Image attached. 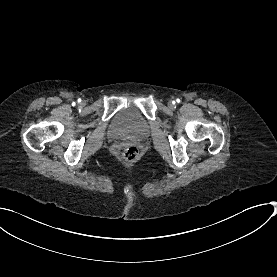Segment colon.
<instances>
[{
  "label": "colon",
  "mask_w": 277,
  "mask_h": 277,
  "mask_svg": "<svg viewBox=\"0 0 277 277\" xmlns=\"http://www.w3.org/2000/svg\"><path fill=\"white\" fill-rule=\"evenodd\" d=\"M139 154L140 151L136 145H127L122 153V161L126 165H133L139 160Z\"/></svg>",
  "instance_id": "obj_1"
}]
</instances>
